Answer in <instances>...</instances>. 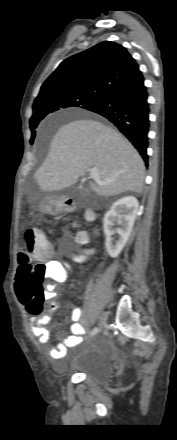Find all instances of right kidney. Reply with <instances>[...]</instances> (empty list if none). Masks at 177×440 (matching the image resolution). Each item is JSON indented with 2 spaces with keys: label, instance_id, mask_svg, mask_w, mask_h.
<instances>
[{
  "label": "right kidney",
  "instance_id": "right-kidney-1",
  "mask_svg": "<svg viewBox=\"0 0 177 440\" xmlns=\"http://www.w3.org/2000/svg\"><path fill=\"white\" fill-rule=\"evenodd\" d=\"M138 201L133 196H126L117 200L111 209L105 214L103 219V229L106 235V250L110 257L116 258L124 248L131 234L134 221L138 214ZM118 222L121 227L114 230L113 225ZM119 235L114 242L112 235Z\"/></svg>",
  "mask_w": 177,
  "mask_h": 440
}]
</instances>
